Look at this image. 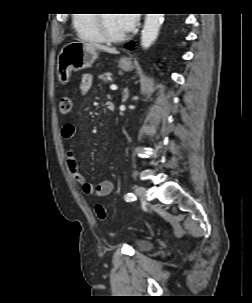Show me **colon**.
<instances>
[{
  "mask_svg": "<svg viewBox=\"0 0 252 303\" xmlns=\"http://www.w3.org/2000/svg\"><path fill=\"white\" fill-rule=\"evenodd\" d=\"M60 112L62 114H69L73 109V103L69 96H62L59 101ZM95 214L98 219L105 220L106 219V209L101 204L95 205Z\"/></svg>",
  "mask_w": 252,
  "mask_h": 303,
  "instance_id": "5ec220e1",
  "label": "colon"
}]
</instances>
